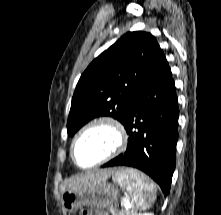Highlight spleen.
I'll list each match as a JSON object with an SVG mask.
<instances>
[{"instance_id": "1", "label": "spleen", "mask_w": 221, "mask_h": 215, "mask_svg": "<svg viewBox=\"0 0 221 215\" xmlns=\"http://www.w3.org/2000/svg\"><path fill=\"white\" fill-rule=\"evenodd\" d=\"M113 180L127 190L136 210H147L156 200L155 183L139 171L127 169L117 172Z\"/></svg>"}]
</instances>
